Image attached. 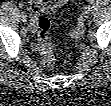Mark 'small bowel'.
Segmentation results:
<instances>
[{"mask_svg":"<svg viewBox=\"0 0 111 106\" xmlns=\"http://www.w3.org/2000/svg\"><path fill=\"white\" fill-rule=\"evenodd\" d=\"M67 2L68 0L36 1L32 3L33 13L37 14L39 10H43L49 14L54 13Z\"/></svg>","mask_w":111,"mask_h":106,"instance_id":"small-bowel-1","label":"small bowel"}]
</instances>
